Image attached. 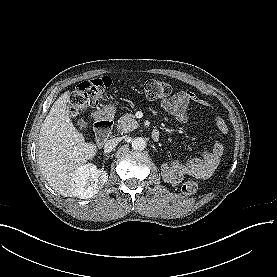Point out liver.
Wrapping results in <instances>:
<instances>
[{
  "mask_svg": "<svg viewBox=\"0 0 277 277\" xmlns=\"http://www.w3.org/2000/svg\"><path fill=\"white\" fill-rule=\"evenodd\" d=\"M70 93H63L52 105L43 121L38 141L39 167L53 190L64 197H81L74 184L77 168L92 160L97 148L85 142L74 127L68 111Z\"/></svg>",
  "mask_w": 277,
  "mask_h": 277,
  "instance_id": "6515ba94",
  "label": "liver"
}]
</instances>
